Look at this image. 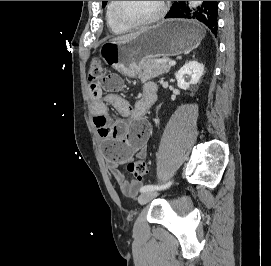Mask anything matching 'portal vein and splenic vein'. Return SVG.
<instances>
[{"mask_svg":"<svg viewBox=\"0 0 271 266\" xmlns=\"http://www.w3.org/2000/svg\"><path fill=\"white\" fill-rule=\"evenodd\" d=\"M168 64H169L170 66H175V65H176V61L170 60V61L168 62Z\"/></svg>","mask_w":271,"mask_h":266,"instance_id":"1","label":"portal vein and splenic vein"}]
</instances>
